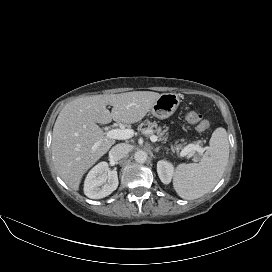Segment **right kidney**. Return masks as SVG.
<instances>
[{"label": "right kidney", "mask_w": 272, "mask_h": 272, "mask_svg": "<svg viewBox=\"0 0 272 272\" xmlns=\"http://www.w3.org/2000/svg\"><path fill=\"white\" fill-rule=\"evenodd\" d=\"M108 167V163L101 162L89 171L84 182V194L88 198L101 199L117 189V171H108Z\"/></svg>", "instance_id": "right-kidney-1"}]
</instances>
